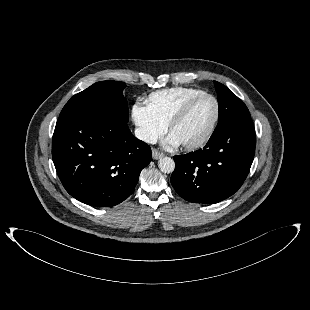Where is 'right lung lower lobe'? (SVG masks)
Wrapping results in <instances>:
<instances>
[{"label":"right lung lower lobe","mask_w":310,"mask_h":310,"mask_svg":"<svg viewBox=\"0 0 310 310\" xmlns=\"http://www.w3.org/2000/svg\"><path fill=\"white\" fill-rule=\"evenodd\" d=\"M52 158L67 192L92 206H114L135 189L152 158L150 147L135 138L127 122L100 113L59 117Z\"/></svg>","instance_id":"right-lung-lower-lobe-1"}]
</instances>
